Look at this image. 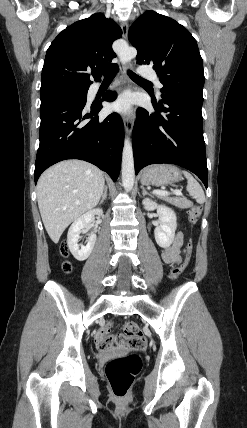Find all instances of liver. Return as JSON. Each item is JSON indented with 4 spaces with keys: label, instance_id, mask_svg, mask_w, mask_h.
<instances>
[{
    "label": "liver",
    "instance_id": "6515ba94",
    "mask_svg": "<svg viewBox=\"0 0 247 428\" xmlns=\"http://www.w3.org/2000/svg\"><path fill=\"white\" fill-rule=\"evenodd\" d=\"M104 190L102 171L80 160L47 169L37 183V200L45 229L54 243L70 223L98 204Z\"/></svg>",
    "mask_w": 247,
    "mask_h": 428
}]
</instances>
